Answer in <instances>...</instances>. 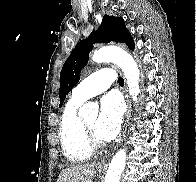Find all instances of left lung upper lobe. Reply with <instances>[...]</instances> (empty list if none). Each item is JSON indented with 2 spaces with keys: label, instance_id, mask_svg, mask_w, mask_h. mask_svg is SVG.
I'll return each instance as SVG.
<instances>
[{
  "label": "left lung upper lobe",
  "instance_id": "left-lung-upper-lobe-1",
  "mask_svg": "<svg viewBox=\"0 0 196 182\" xmlns=\"http://www.w3.org/2000/svg\"><path fill=\"white\" fill-rule=\"evenodd\" d=\"M125 43L130 50H134L133 38L125 27L123 18L104 15L100 27L93 31L87 39L80 41L71 52L60 73V105L62 106L66 95L78 83L80 72L88 62L89 53L94 43L102 42Z\"/></svg>",
  "mask_w": 196,
  "mask_h": 182
}]
</instances>
